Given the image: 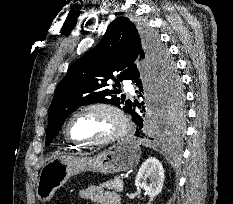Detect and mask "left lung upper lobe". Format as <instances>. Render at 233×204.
<instances>
[{"instance_id": "obj_1", "label": "left lung upper lobe", "mask_w": 233, "mask_h": 204, "mask_svg": "<svg viewBox=\"0 0 233 204\" xmlns=\"http://www.w3.org/2000/svg\"><path fill=\"white\" fill-rule=\"evenodd\" d=\"M145 50V52H144ZM147 55L161 87L163 118L176 129L181 128L184 116L183 96L174 64L158 38L143 25H135L127 17L110 23L101 42L86 55L75 61L58 83L48 110L46 142L48 146L65 119L82 105L109 103L124 112L132 101L117 97L119 89L106 88L108 80L130 79L136 68L135 59Z\"/></svg>"}]
</instances>
